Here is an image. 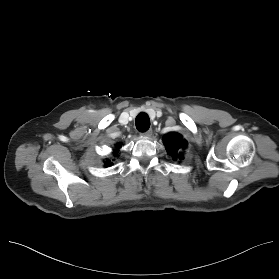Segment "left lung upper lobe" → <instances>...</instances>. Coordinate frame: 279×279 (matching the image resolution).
<instances>
[{"instance_id":"1","label":"left lung upper lobe","mask_w":279,"mask_h":279,"mask_svg":"<svg viewBox=\"0 0 279 279\" xmlns=\"http://www.w3.org/2000/svg\"><path fill=\"white\" fill-rule=\"evenodd\" d=\"M164 144L167 147L168 155L172 156L174 160L183 159L180 150L187 145V142L180 134L173 132L169 137L164 136Z\"/></svg>"}]
</instances>
